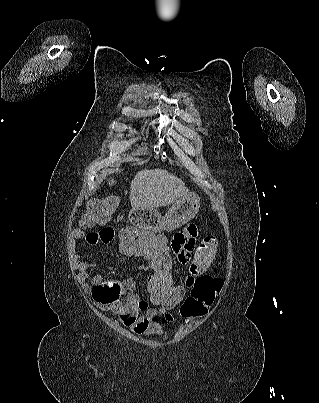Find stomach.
Here are the masks:
<instances>
[{
  "mask_svg": "<svg viewBox=\"0 0 319 403\" xmlns=\"http://www.w3.org/2000/svg\"><path fill=\"white\" fill-rule=\"evenodd\" d=\"M199 208L200 198L195 193H189L177 200L165 215L153 209H132L128 224L137 226L147 234H161L162 230L171 231L189 222Z\"/></svg>",
  "mask_w": 319,
  "mask_h": 403,
  "instance_id": "stomach-1",
  "label": "stomach"
}]
</instances>
